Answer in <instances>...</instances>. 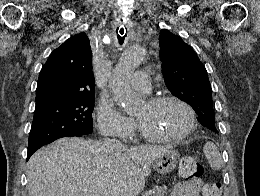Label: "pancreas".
Segmentation results:
<instances>
[{
    "mask_svg": "<svg viewBox=\"0 0 260 196\" xmlns=\"http://www.w3.org/2000/svg\"><path fill=\"white\" fill-rule=\"evenodd\" d=\"M167 186H155L153 188V196H166Z\"/></svg>",
    "mask_w": 260,
    "mask_h": 196,
    "instance_id": "cf45deb5",
    "label": "pancreas"
}]
</instances>
